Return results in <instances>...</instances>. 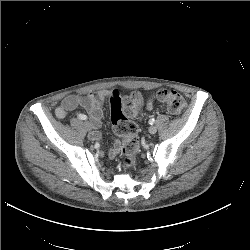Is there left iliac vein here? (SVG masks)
Returning <instances> with one entry per match:
<instances>
[{
    "instance_id": "obj_1",
    "label": "left iliac vein",
    "mask_w": 250,
    "mask_h": 250,
    "mask_svg": "<svg viewBox=\"0 0 250 250\" xmlns=\"http://www.w3.org/2000/svg\"><path fill=\"white\" fill-rule=\"evenodd\" d=\"M157 132V128L155 127V126H151L150 128H149V133L150 134H155Z\"/></svg>"
}]
</instances>
